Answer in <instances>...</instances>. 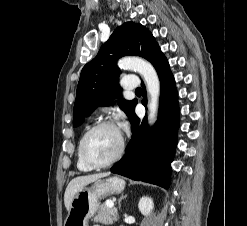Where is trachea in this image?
<instances>
[{"label":"trachea","instance_id":"obj_1","mask_svg":"<svg viewBox=\"0 0 247 226\" xmlns=\"http://www.w3.org/2000/svg\"><path fill=\"white\" fill-rule=\"evenodd\" d=\"M135 92H141V88H137Z\"/></svg>","mask_w":247,"mask_h":226}]
</instances>
